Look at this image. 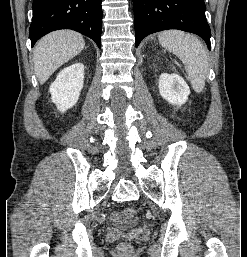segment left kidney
<instances>
[{"instance_id":"left-kidney-1","label":"left kidney","mask_w":247,"mask_h":257,"mask_svg":"<svg viewBox=\"0 0 247 257\" xmlns=\"http://www.w3.org/2000/svg\"><path fill=\"white\" fill-rule=\"evenodd\" d=\"M158 87L162 98L172 105L181 106L188 100L190 94L189 86L177 74H161Z\"/></svg>"}]
</instances>
